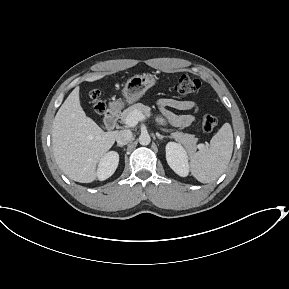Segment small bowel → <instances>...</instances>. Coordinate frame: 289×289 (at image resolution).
Returning a JSON list of instances; mask_svg holds the SVG:
<instances>
[{
	"label": "small bowel",
	"mask_w": 289,
	"mask_h": 289,
	"mask_svg": "<svg viewBox=\"0 0 289 289\" xmlns=\"http://www.w3.org/2000/svg\"><path fill=\"white\" fill-rule=\"evenodd\" d=\"M161 116L170 124L177 127H185L192 123L194 120L193 115H177L170 111V109L176 110H191L197 112L198 107L195 102L188 100H176V99H161L158 103Z\"/></svg>",
	"instance_id": "small-bowel-1"
}]
</instances>
